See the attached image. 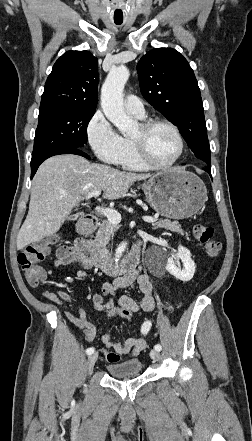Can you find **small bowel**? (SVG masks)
<instances>
[{"label": "small bowel", "mask_w": 252, "mask_h": 441, "mask_svg": "<svg viewBox=\"0 0 252 441\" xmlns=\"http://www.w3.org/2000/svg\"><path fill=\"white\" fill-rule=\"evenodd\" d=\"M78 258L72 247L63 246L58 249L56 254L55 265L57 267L66 266L77 261ZM81 263L85 267L82 261ZM137 284L140 291L143 293V298L140 305L136 303L131 297L127 295H119L120 289ZM45 297L50 301L58 304L64 302H71L72 296L65 291L45 292ZM92 306L97 311H104L111 305H124L135 303L138 308L148 313H152L157 304V299L154 294V286L150 277L142 272L133 270L127 272L125 275L116 278L112 282H106L102 285L101 293H96L91 296ZM66 318L77 328L83 331L86 340L91 341L96 336V328L91 324L85 312L80 309L78 315L70 312H65ZM102 343L109 349L114 350L119 356H135L145 349L146 343L141 338H128L124 342H118L110 333H104L101 336Z\"/></svg>", "instance_id": "obj_1"}]
</instances>
